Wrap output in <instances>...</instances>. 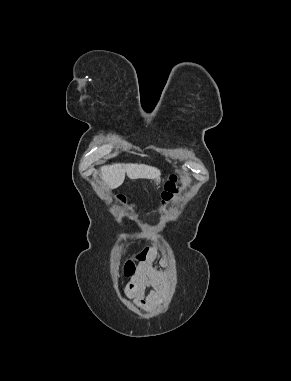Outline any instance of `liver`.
<instances>
[{"instance_id": "obj_1", "label": "liver", "mask_w": 291, "mask_h": 381, "mask_svg": "<svg viewBox=\"0 0 291 381\" xmlns=\"http://www.w3.org/2000/svg\"><path fill=\"white\" fill-rule=\"evenodd\" d=\"M125 173L130 179H157L160 177V170L144 164H113L101 167V175L109 188L115 189L122 185Z\"/></svg>"}]
</instances>
